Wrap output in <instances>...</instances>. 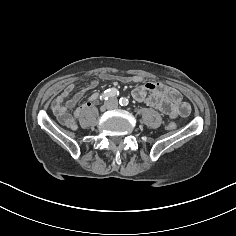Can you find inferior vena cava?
Returning <instances> with one entry per match:
<instances>
[{"label": "inferior vena cava", "mask_w": 236, "mask_h": 236, "mask_svg": "<svg viewBox=\"0 0 236 236\" xmlns=\"http://www.w3.org/2000/svg\"><path fill=\"white\" fill-rule=\"evenodd\" d=\"M118 100L116 98H109L107 101L104 102V107L106 109L112 110L117 108Z\"/></svg>", "instance_id": "obj_1"}]
</instances>
